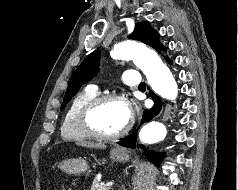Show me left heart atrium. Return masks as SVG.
<instances>
[{
  "label": "left heart atrium",
  "instance_id": "1",
  "mask_svg": "<svg viewBox=\"0 0 238 190\" xmlns=\"http://www.w3.org/2000/svg\"><path fill=\"white\" fill-rule=\"evenodd\" d=\"M126 106H127V110H128V112H129V114H131V108H130V106L127 105V104H126Z\"/></svg>",
  "mask_w": 238,
  "mask_h": 190
}]
</instances>
